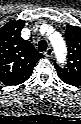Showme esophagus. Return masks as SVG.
Listing matches in <instances>:
<instances>
[{
  "mask_svg": "<svg viewBox=\"0 0 81 124\" xmlns=\"http://www.w3.org/2000/svg\"><path fill=\"white\" fill-rule=\"evenodd\" d=\"M45 55L47 57H52V55H53V49L51 47H48V49L45 51Z\"/></svg>",
  "mask_w": 81,
  "mask_h": 124,
  "instance_id": "esophagus-1",
  "label": "esophagus"
}]
</instances>
